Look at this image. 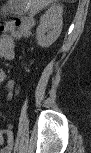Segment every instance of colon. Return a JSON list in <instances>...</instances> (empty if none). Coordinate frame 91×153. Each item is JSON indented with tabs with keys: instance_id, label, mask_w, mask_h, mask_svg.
<instances>
[{
	"instance_id": "5ec220e1",
	"label": "colon",
	"mask_w": 91,
	"mask_h": 153,
	"mask_svg": "<svg viewBox=\"0 0 91 153\" xmlns=\"http://www.w3.org/2000/svg\"><path fill=\"white\" fill-rule=\"evenodd\" d=\"M33 25V19L31 17H26L21 20H17L16 24L12 23L10 27L14 29H30ZM7 30L9 31V27L7 26ZM13 38H15L12 33L9 31V33L3 35L0 39L1 45L4 46H10L12 44Z\"/></svg>"
}]
</instances>
